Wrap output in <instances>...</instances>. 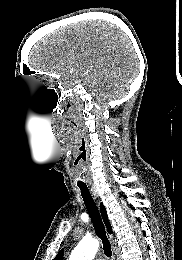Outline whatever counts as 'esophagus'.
<instances>
[{
	"label": "esophagus",
	"mask_w": 182,
	"mask_h": 260,
	"mask_svg": "<svg viewBox=\"0 0 182 260\" xmlns=\"http://www.w3.org/2000/svg\"><path fill=\"white\" fill-rule=\"evenodd\" d=\"M109 238H110V241H111V243L112 244H114L115 243V240H114V237H113V235L111 234V235H109Z\"/></svg>",
	"instance_id": "1"
}]
</instances>
